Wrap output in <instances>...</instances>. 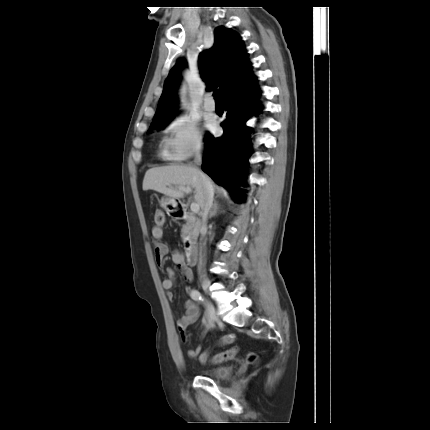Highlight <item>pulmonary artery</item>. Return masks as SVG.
Masks as SVG:
<instances>
[{"instance_id": "obj_1", "label": "pulmonary artery", "mask_w": 430, "mask_h": 430, "mask_svg": "<svg viewBox=\"0 0 430 430\" xmlns=\"http://www.w3.org/2000/svg\"><path fill=\"white\" fill-rule=\"evenodd\" d=\"M203 106L207 111H214L216 109L215 102L209 95L204 99Z\"/></svg>"}]
</instances>
